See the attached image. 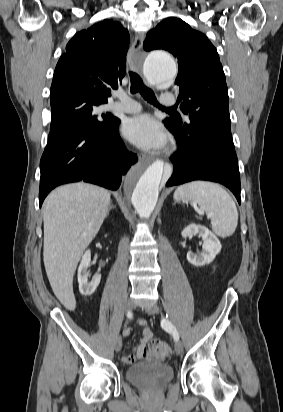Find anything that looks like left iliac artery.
<instances>
[{"label": "left iliac artery", "instance_id": "44dca946", "mask_svg": "<svg viewBox=\"0 0 283 412\" xmlns=\"http://www.w3.org/2000/svg\"><path fill=\"white\" fill-rule=\"evenodd\" d=\"M161 325L167 332L172 334L175 340H179V333L177 329L175 328V326L169 320L162 319Z\"/></svg>", "mask_w": 283, "mask_h": 412}]
</instances>
